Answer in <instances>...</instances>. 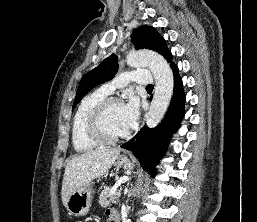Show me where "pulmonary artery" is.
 <instances>
[{"instance_id": "obj_1", "label": "pulmonary artery", "mask_w": 257, "mask_h": 222, "mask_svg": "<svg viewBox=\"0 0 257 222\" xmlns=\"http://www.w3.org/2000/svg\"><path fill=\"white\" fill-rule=\"evenodd\" d=\"M152 81L150 72L135 71L132 73H123L117 76L111 83L105 84L101 90L105 93H112L116 87L125 85L129 82H135L140 85H149Z\"/></svg>"}]
</instances>
